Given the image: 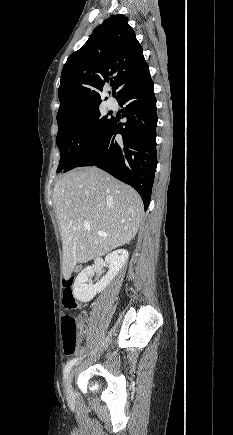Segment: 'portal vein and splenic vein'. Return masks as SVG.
<instances>
[{
  "label": "portal vein and splenic vein",
  "instance_id": "obj_1",
  "mask_svg": "<svg viewBox=\"0 0 233 435\" xmlns=\"http://www.w3.org/2000/svg\"><path fill=\"white\" fill-rule=\"evenodd\" d=\"M83 226L86 229H89L90 228V223L89 222H84ZM97 234L100 235V236H103V237H107L108 236L105 232H101V231H98Z\"/></svg>",
  "mask_w": 233,
  "mask_h": 435
}]
</instances>
